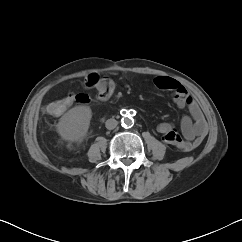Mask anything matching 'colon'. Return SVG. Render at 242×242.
Wrapping results in <instances>:
<instances>
[{"label":"colon","instance_id":"1","mask_svg":"<svg viewBox=\"0 0 242 242\" xmlns=\"http://www.w3.org/2000/svg\"><path fill=\"white\" fill-rule=\"evenodd\" d=\"M96 79L95 78H92L90 80V83L85 85L86 87H92L95 85L96 83ZM111 95V92L108 88H99L97 90V97L98 99H107L109 98ZM76 101L78 102H86L88 101L89 97L87 94L85 93H80L76 96ZM69 107V101L67 99V97L65 98H62L60 100H56L54 102H51L48 106H47V110L50 114L52 115H60L62 114L63 112H65Z\"/></svg>","mask_w":242,"mask_h":242}]
</instances>
